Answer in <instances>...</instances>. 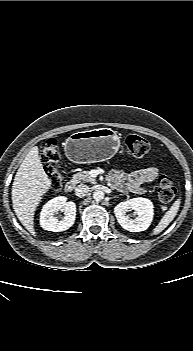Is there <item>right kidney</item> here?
Masks as SVG:
<instances>
[{"instance_id":"1","label":"right kidney","mask_w":193,"mask_h":351,"mask_svg":"<svg viewBox=\"0 0 193 351\" xmlns=\"http://www.w3.org/2000/svg\"><path fill=\"white\" fill-rule=\"evenodd\" d=\"M64 212L62 220H58L54 215L56 212ZM76 218V204L67 202L64 196H58L49 200L40 213V225L43 229L53 232H61L69 229Z\"/></svg>"}]
</instances>
